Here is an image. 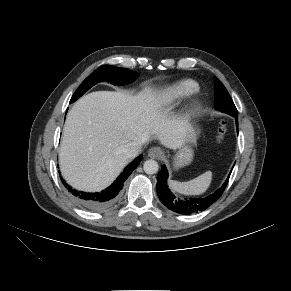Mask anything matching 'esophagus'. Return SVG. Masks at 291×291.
<instances>
[{
    "instance_id": "34e87169",
    "label": "esophagus",
    "mask_w": 291,
    "mask_h": 291,
    "mask_svg": "<svg viewBox=\"0 0 291 291\" xmlns=\"http://www.w3.org/2000/svg\"><path fill=\"white\" fill-rule=\"evenodd\" d=\"M162 154H163V152H162V149L160 147H151L148 150V156L150 158H154V159L161 158Z\"/></svg>"
}]
</instances>
